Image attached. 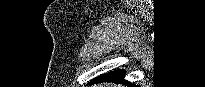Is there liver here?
I'll return each instance as SVG.
<instances>
[{
  "instance_id": "obj_1",
  "label": "liver",
  "mask_w": 205,
  "mask_h": 87,
  "mask_svg": "<svg viewBox=\"0 0 205 87\" xmlns=\"http://www.w3.org/2000/svg\"><path fill=\"white\" fill-rule=\"evenodd\" d=\"M94 87H119V86H113V84H99L98 86Z\"/></svg>"
}]
</instances>
